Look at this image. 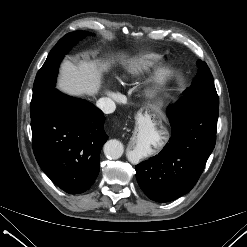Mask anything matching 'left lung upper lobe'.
Returning a JSON list of instances; mask_svg holds the SVG:
<instances>
[{
    "label": "left lung upper lobe",
    "instance_id": "5c2ea615",
    "mask_svg": "<svg viewBox=\"0 0 247 247\" xmlns=\"http://www.w3.org/2000/svg\"><path fill=\"white\" fill-rule=\"evenodd\" d=\"M199 70L193 79L191 86L184 91V94H199L208 100L219 103V98L215 89L214 80L210 69L205 62L198 61Z\"/></svg>",
    "mask_w": 247,
    "mask_h": 247
}]
</instances>
